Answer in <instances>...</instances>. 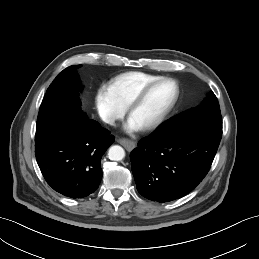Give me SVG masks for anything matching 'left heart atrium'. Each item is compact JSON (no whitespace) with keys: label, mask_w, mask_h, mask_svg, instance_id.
<instances>
[{"label":"left heart atrium","mask_w":259,"mask_h":259,"mask_svg":"<svg viewBox=\"0 0 259 259\" xmlns=\"http://www.w3.org/2000/svg\"><path fill=\"white\" fill-rule=\"evenodd\" d=\"M142 127L136 123L131 117L128 119L126 125H125V129L128 132H137L141 129Z\"/></svg>","instance_id":"obj_1"}]
</instances>
